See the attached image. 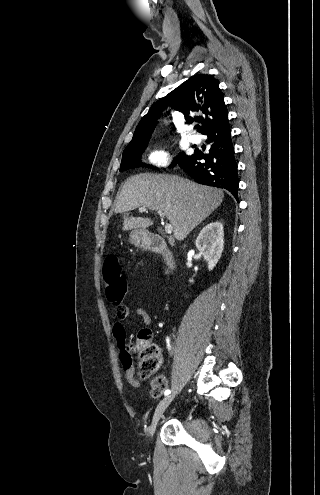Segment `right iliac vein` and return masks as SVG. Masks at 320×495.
Masks as SVG:
<instances>
[{
  "instance_id": "right-iliac-vein-1",
  "label": "right iliac vein",
  "mask_w": 320,
  "mask_h": 495,
  "mask_svg": "<svg viewBox=\"0 0 320 495\" xmlns=\"http://www.w3.org/2000/svg\"><path fill=\"white\" fill-rule=\"evenodd\" d=\"M173 399H174V395H168L165 398H163L160 401V403L157 405L155 412H154V415H153L152 423H151V426L149 429V436L150 437H152L154 435V433L156 431V426H157L160 418L163 416V413L165 412L167 407L171 404Z\"/></svg>"
}]
</instances>
